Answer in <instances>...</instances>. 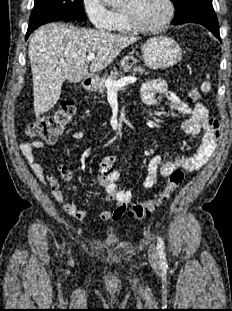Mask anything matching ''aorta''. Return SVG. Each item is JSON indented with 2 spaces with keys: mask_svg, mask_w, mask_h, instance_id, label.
Here are the masks:
<instances>
[{
  "mask_svg": "<svg viewBox=\"0 0 232 311\" xmlns=\"http://www.w3.org/2000/svg\"><path fill=\"white\" fill-rule=\"evenodd\" d=\"M103 1L107 3L108 5H115L120 2V0H103Z\"/></svg>",
  "mask_w": 232,
  "mask_h": 311,
  "instance_id": "aorta-1",
  "label": "aorta"
}]
</instances>
